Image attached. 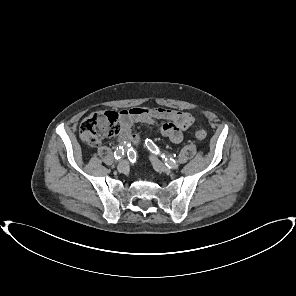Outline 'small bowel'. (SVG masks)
<instances>
[{
    "label": "small bowel",
    "instance_id": "small-bowel-1",
    "mask_svg": "<svg viewBox=\"0 0 296 296\" xmlns=\"http://www.w3.org/2000/svg\"><path fill=\"white\" fill-rule=\"evenodd\" d=\"M155 120H165L159 133L173 143H180L183 131L194 122L191 114L169 108L133 107L120 112L119 142L124 146L138 145L141 137L134 132L135 124L152 125Z\"/></svg>",
    "mask_w": 296,
    "mask_h": 296
}]
</instances>
